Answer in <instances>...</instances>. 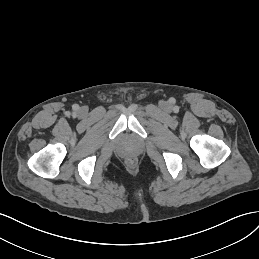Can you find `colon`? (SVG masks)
<instances>
[{"label":"colon","mask_w":259,"mask_h":259,"mask_svg":"<svg viewBox=\"0 0 259 259\" xmlns=\"http://www.w3.org/2000/svg\"><path fill=\"white\" fill-rule=\"evenodd\" d=\"M127 163H128L129 165H134V164L136 163V159H135L134 157H129V158L127 159Z\"/></svg>","instance_id":"colon-1"}]
</instances>
